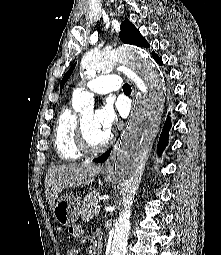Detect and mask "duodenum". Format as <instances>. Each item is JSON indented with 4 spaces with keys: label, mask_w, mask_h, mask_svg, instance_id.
<instances>
[{
    "label": "duodenum",
    "mask_w": 221,
    "mask_h": 255,
    "mask_svg": "<svg viewBox=\"0 0 221 255\" xmlns=\"http://www.w3.org/2000/svg\"><path fill=\"white\" fill-rule=\"evenodd\" d=\"M94 255H102L101 246L99 244L95 248Z\"/></svg>",
    "instance_id": "410a0bca"
}]
</instances>
